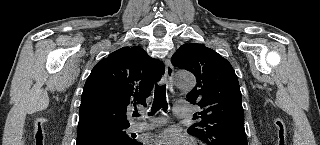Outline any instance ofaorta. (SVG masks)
Masks as SVG:
<instances>
[{
  "label": "aorta",
  "instance_id": "762f6f07",
  "mask_svg": "<svg viewBox=\"0 0 320 145\" xmlns=\"http://www.w3.org/2000/svg\"><path fill=\"white\" fill-rule=\"evenodd\" d=\"M175 83L178 88L189 90L195 86L196 79L191 73L180 71L175 74Z\"/></svg>",
  "mask_w": 320,
  "mask_h": 145
}]
</instances>
